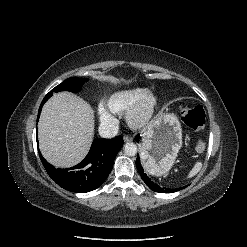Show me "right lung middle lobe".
Masks as SVG:
<instances>
[{
	"label": "right lung middle lobe",
	"mask_w": 247,
	"mask_h": 247,
	"mask_svg": "<svg viewBox=\"0 0 247 247\" xmlns=\"http://www.w3.org/2000/svg\"><path fill=\"white\" fill-rule=\"evenodd\" d=\"M85 81H88V79L77 78V77L68 78L64 82L56 86L54 89H52L48 93V95H52L53 92H60V91L78 92L81 90V87Z\"/></svg>",
	"instance_id": "obj_1"
}]
</instances>
